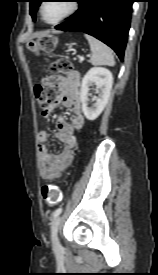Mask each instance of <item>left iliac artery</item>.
I'll return each instance as SVG.
<instances>
[{
    "instance_id": "left-iliac-artery-1",
    "label": "left iliac artery",
    "mask_w": 158,
    "mask_h": 275,
    "mask_svg": "<svg viewBox=\"0 0 158 275\" xmlns=\"http://www.w3.org/2000/svg\"><path fill=\"white\" fill-rule=\"evenodd\" d=\"M61 212H62V208H61V207L57 208V209L53 212L52 217H53V218L58 217V216L60 215Z\"/></svg>"
}]
</instances>
